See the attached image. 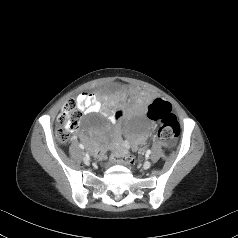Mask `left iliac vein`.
Returning a JSON list of instances; mask_svg holds the SVG:
<instances>
[{
  "mask_svg": "<svg viewBox=\"0 0 238 238\" xmlns=\"http://www.w3.org/2000/svg\"><path fill=\"white\" fill-rule=\"evenodd\" d=\"M151 167V162L150 161H145L143 164L144 169H149Z\"/></svg>",
  "mask_w": 238,
  "mask_h": 238,
  "instance_id": "left-iliac-vein-1",
  "label": "left iliac vein"
}]
</instances>
